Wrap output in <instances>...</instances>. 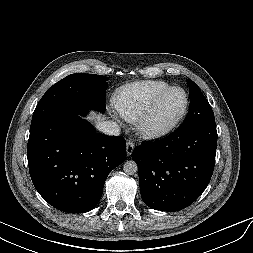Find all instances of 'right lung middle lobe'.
I'll return each instance as SVG.
<instances>
[{"mask_svg":"<svg viewBox=\"0 0 253 253\" xmlns=\"http://www.w3.org/2000/svg\"><path fill=\"white\" fill-rule=\"evenodd\" d=\"M106 76L71 74L51 86L32 116L31 127L67 112L85 115L90 109L104 112Z\"/></svg>","mask_w":253,"mask_h":253,"instance_id":"dd1d6c3e","label":"right lung middle lobe"}]
</instances>
